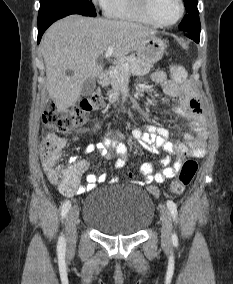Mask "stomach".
I'll return each mask as SVG.
<instances>
[{
  "instance_id": "1",
  "label": "stomach",
  "mask_w": 233,
  "mask_h": 284,
  "mask_svg": "<svg viewBox=\"0 0 233 284\" xmlns=\"http://www.w3.org/2000/svg\"><path fill=\"white\" fill-rule=\"evenodd\" d=\"M165 52V43L156 36H151L145 40L143 45L136 51L138 58L148 64L158 62Z\"/></svg>"
}]
</instances>
